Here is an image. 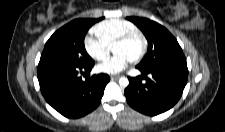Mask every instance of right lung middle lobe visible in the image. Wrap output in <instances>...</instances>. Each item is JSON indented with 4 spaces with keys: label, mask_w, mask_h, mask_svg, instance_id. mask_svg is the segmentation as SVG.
<instances>
[{
    "label": "right lung middle lobe",
    "mask_w": 225,
    "mask_h": 132,
    "mask_svg": "<svg viewBox=\"0 0 225 132\" xmlns=\"http://www.w3.org/2000/svg\"><path fill=\"white\" fill-rule=\"evenodd\" d=\"M101 19H76L57 30L46 42L40 61H57L78 66L93 63L84 46L88 29Z\"/></svg>",
    "instance_id": "1"
}]
</instances>
